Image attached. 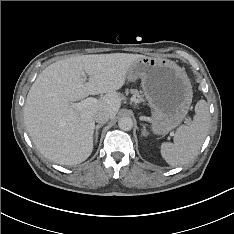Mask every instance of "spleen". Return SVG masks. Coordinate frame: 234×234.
I'll return each instance as SVG.
<instances>
[{"instance_id":"3e777b00","label":"spleen","mask_w":234,"mask_h":234,"mask_svg":"<svg viewBox=\"0 0 234 234\" xmlns=\"http://www.w3.org/2000/svg\"><path fill=\"white\" fill-rule=\"evenodd\" d=\"M195 117L191 124L180 126L174 143L164 142L160 152L170 166H182L193 160L207 136L210 126L209 107L205 100H199L195 106Z\"/></svg>"}]
</instances>
